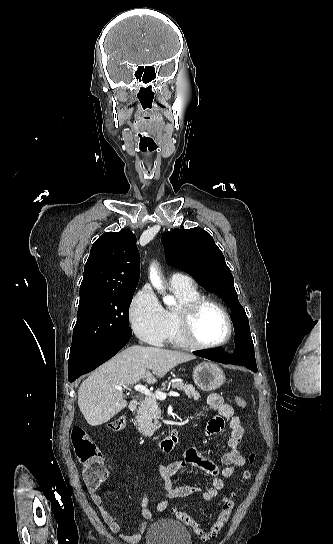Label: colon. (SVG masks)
Here are the masks:
<instances>
[{"label": "colon", "mask_w": 333, "mask_h": 544, "mask_svg": "<svg viewBox=\"0 0 333 544\" xmlns=\"http://www.w3.org/2000/svg\"><path fill=\"white\" fill-rule=\"evenodd\" d=\"M235 402L240 408L244 409L247 407L246 400L240 396L235 397ZM125 426L126 418L123 415L114 418L108 423V428L114 432L123 430ZM71 439L76 457L83 466V479L85 484L90 490H98L108 477V471L104 465L100 450L90 433L82 427L77 426L73 428ZM249 461L250 463H254V454L250 455ZM249 477L250 473L246 471L242 475V480H247ZM233 507L234 500L232 496L226 497L223 500L219 514L208 529L202 528L190 514L182 510L174 509V514L180 521L190 527L202 540H209L215 538L222 531L231 516Z\"/></svg>", "instance_id": "colon-1"}]
</instances>
